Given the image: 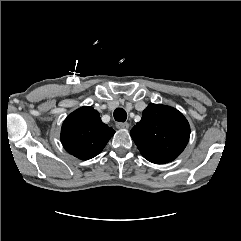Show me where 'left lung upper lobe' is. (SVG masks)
<instances>
[{"label": "left lung upper lobe", "instance_id": "5c2ea615", "mask_svg": "<svg viewBox=\"0 0 241 241\" xmlns=\"http://www.w3.org/2000/svg\"><path fill=\"white\" fill-rule=\"evenodd\" d=\"M130 135L145 158L174 160L188 143L190 126L177 109L151 103Z\"/></svg>", "mask_w": 241, "mask_h": 241}]
</instances>
